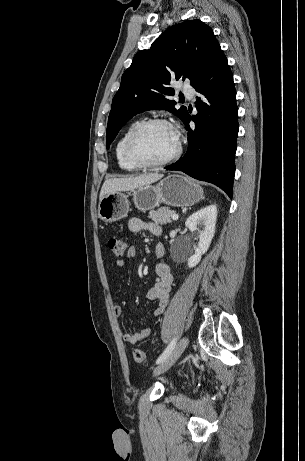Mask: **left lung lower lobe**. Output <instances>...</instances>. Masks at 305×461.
Wrapping results in <instances>:
<instances>
[{
    "label": "left lung lower lobe",
    "mask_w": 305,
    "mask_h": 461,
    "mask_svg": "<svg viewBox=\"0 0 305 461\" xmlns=\"http://www.w3.org/2000/svg\"><path fill=\"white\" fill-rule=\"evenodd\" d=\"M193 87L208 103L197 98L198 114L191 117L188 113L183 120L188 130V150L183 158L165 168L213 183L232 197L238 109L233 75L222 50ZM191 119L195 122L193 129L189 127Z\"/></svg>",
    "instance_id": "obj_1"
}]
</instances>
